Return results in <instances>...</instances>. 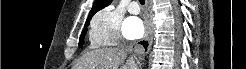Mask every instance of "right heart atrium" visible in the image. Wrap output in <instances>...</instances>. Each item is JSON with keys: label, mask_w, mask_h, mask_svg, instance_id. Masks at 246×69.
Returning <instances> with one entry per match:
<instances>
[{"label": "right heart atrium", "mask_w": 246, "mask_h": 69, "mask_svg": "<svg viewBox=\"0 0 246 69\" xmlns=\"http://www.w3.org/2000/svg\"><path fill=\"white\" fill-rule=\"evenodd\" d=\"M121 15L111 7L98 11L91 20L89 41L93 48L117 45L122 39Z\"/></svg>", "instance_id": "obj_1"}]
</instances>
